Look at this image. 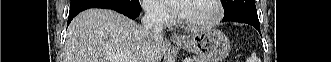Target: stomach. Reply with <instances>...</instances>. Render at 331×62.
<instances>
[{
  "mask_svg": "<svg viewBox=\"0 0 331 62\" xmlns=\"http://www.w3.org/2000/svg\"><path fill=\"white\" fill-rule=\"evenodd\" d=\"M176 46L188 52L196 53L204 62H222L231 50L227 36L219 30H207L187 36L184 42Z\"/></svg>",
  "mask_w": 331,
  "mask_h": 62,
  "instance_id": "0dacf381",
  "label": "stomach"
}]
</instances>
